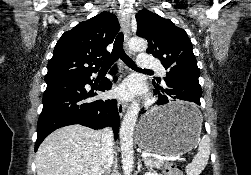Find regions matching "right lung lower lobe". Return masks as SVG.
<instances>
[{
    "mask_svg": "<svg viewBox=\"0 0 251 175\" xmlns=\"http://www.w3.org/2000/svg\"><path fill=\"white\" fill-rule=\"evenodd\" d=\"M115 74V68L110 71ZM91 76V75H90ZM90 76L47 81L43 94V109L37 124L35 151L42 141L54 130L81 124L93 129L112 126L115 137L118 135L120 117L116 100L87 101L97 93H87L84 86L91 84ZM117 79L114 78V81ZM112 83L104 79L98 86L99 91L110 90Z\"/></svg>",
    "mask_w": 251,
    "mask_h": 175,
    "instance_id": "obj_1",
    "label": "right lung lower lobe"
}]
</instances>
